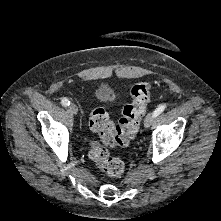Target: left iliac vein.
I'll return each mask as SVG.
<instances>
[{
    "mask_svg": "<svg viewBox=\"0 0 221 221\" xmlns=\"http://www.w3.org/2000/svg\"><path fill=\"white\" fill-rule=\"evenodd\" d=\"M153 120H154V114L153 113L147 114V116L144 119V127L149 128L151 126Z\"/></svg>",
    "mask_w": 221,
    "mask_h": 221,
    "instance_id": "obj_1",
    "label": "left iliac vein"
}]
</instances>
